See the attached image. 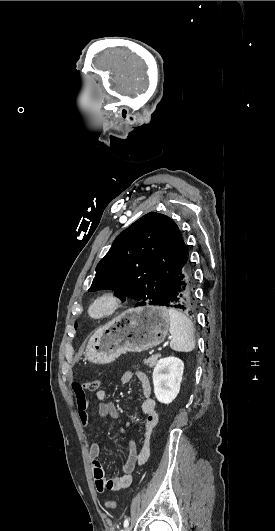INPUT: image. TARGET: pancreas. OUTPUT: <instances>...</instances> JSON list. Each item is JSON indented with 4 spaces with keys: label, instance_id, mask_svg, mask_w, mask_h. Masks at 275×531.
Wrapping results in <instances>:
<instances>
[{
    "label": "pancreas",
    "instance_id": "cf45deb5",
    "mask_svg": "<svg viewBox=\"0 0 275 531\" xmlns=\"http://www.w3.org/2000/svg\"><path fill=\"white\" fill-rule=\"evenodd\" d=\"M160 355H152V357H148V359H144L145 365H148V367H155L157 365V361L159 359Z\"/></svg>",
    "mask_w": 275,
    "mask_h": 531
}]
</instances>
